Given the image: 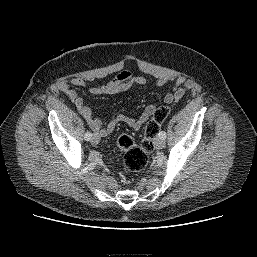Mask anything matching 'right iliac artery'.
<instances>
[{
    "instance_id": "82829eb1",
    "label": "right iliac artery",
    "mask_w": 257,
    "mask_h": 257,
    "mask_svg": "<svg viewBox=\"0 0 257 257\" xmlns=\"http://www.w3.org/2000/svg\"><path fill=\"white\" fill-rule=\"evenodd\" d=\"M91 138H92V134L90 132H86L85 135H84V139L86 141H89Z\"/></svg>"
}]
</instances>
